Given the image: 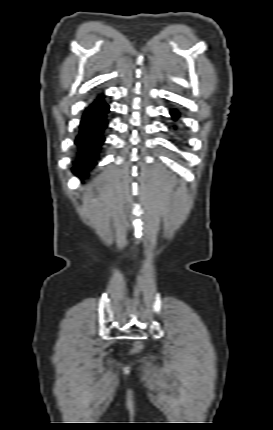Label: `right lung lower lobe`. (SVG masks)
Wrapping results in <instances>:
<instances>
[{"mask_svg": "<svg viewBox=\"0 0 273 430\" xmlns=\"http://www.w3.org/2000/svg\"><path fill=\"white\" fill-rule=\"evenodd\" d=\"M108 112L109 105L104 102L103 96H99L82 116L75 138V163L72 168L73 173L81 179L86 178L97 164L96 160L105 140L104 130L108 126Z\"/></svg>", "mask_w": 273, "mask_h": 430, "instance_id": "1", "label": "right lung lower lobe"}]
</instances>
